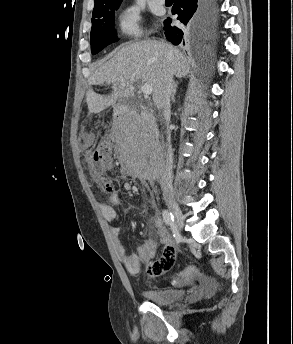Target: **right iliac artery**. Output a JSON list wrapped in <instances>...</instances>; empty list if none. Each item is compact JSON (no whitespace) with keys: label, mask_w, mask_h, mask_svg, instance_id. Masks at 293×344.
I'll use <instances>...</instances> for the list:
<instances>
[{"label":"right iliac artery","mask_w":293,"mask_h":344,"mask_svg":"<svg viewBox=\"0 0 293 344\" xmlns=\"http://www.w3.org/2000/svg\"><path fill=\"white\" fill-rule=\"evenodd\" d=\"M162 216H163V220L167 225H172L174 222V216L173 214L168 211V210H163L162 211Z\"/></svg>","instance_id":"obj_1"}]
</instances>
